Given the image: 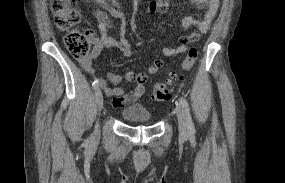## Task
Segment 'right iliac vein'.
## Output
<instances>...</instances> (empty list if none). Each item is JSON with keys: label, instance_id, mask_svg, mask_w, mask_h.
I'll use <instances>...</instances> for the list:
<instances>
[{"label": "right iliac vein", "instance_id": "63e3f726", "mask_svg": "<svg viewBox=\"0 0 285 183\" xmlns=\"http://www.w3.org/2000/svg\"><path fill=\"white\" fill-rule=\"evenodd\" d=\"M95 101H96V104L98 106V110L101 111V109L103 108V96H102V93H101L99 88L95 89ZM95 135L96 136L99 135V128L98 127L95 130Z\"/></svg>", "mask_w": 285, "mask_h": 183}]
</instances>
